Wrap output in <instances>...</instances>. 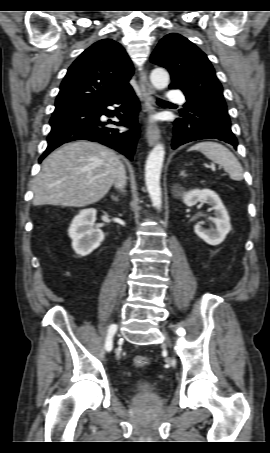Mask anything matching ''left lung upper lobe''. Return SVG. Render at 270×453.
<instances>
[{"label": "left lung upper lobe", "instance_id": "5c2ea615", "mask_svg": "<svg viewBox=\"0 0 270 453\" xmlns=\"http://www.w3.org/2000/svg\"><path fill=\"white\" fill-rule=\"evenodd\" d=\"M151 62L170 72V88L181 89L187 106L194 105L220 116L230 124L222 86L207 56L187 38L171 33L161 39L151 55Z\"/></svg>", "mask_w": 270, "mask_h": 453}]
</instances>
